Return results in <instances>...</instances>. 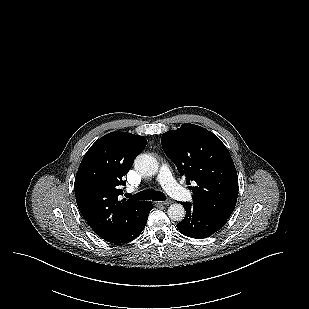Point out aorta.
Returning a JSON list of instances; mask_svg holds the SVG:
<instances>
[{"label": "aorta", "mask_w": 309, "mask_h": 309, "mask_svg": "<svg viewBox=\"0 0 309 309\" xmlns=\"http://www.w3.org/2000/svg\"><path fill=\"white\" fill-rule=\"evenodd\" d=\"M135 168L144 176H153L158 172L157 160L149 154H140L135 159ZM168 216L171 220L180 222L185 217V208L181 204H172L168 208Z\"/></svg>", "instance_id": "762f6f07"}]
</instances>
